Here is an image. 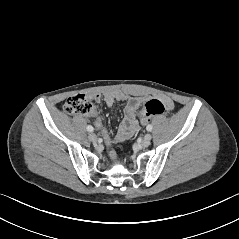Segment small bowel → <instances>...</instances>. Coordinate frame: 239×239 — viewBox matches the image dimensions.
Instances as JSON below:
<instances>
[{
  "label": "small bowel",
  "instance_id": "small-bowel-1",
  "mask_svg": "<svg viewBox=\"0 0 239 239\" xmlns=\"http://www.w3.org/2000/svg\"><path fill=\"white\" fill-rule=\"evenodd\" d=\"M90 99L100 102L104 100L107 106L111 107L115 102L119 101L124 104V119L120 123L116 134L112 135L103 126L101 118L97 117L94 121V126L101 131V134L106 143L125 141L132 137L138 130V121L136 112L139 105L144 101L143 98L126 95L120 91H110L105 94L95 93L89 96ZM163 102L168 110L173 109L174 104L169 98H164ZM92 115H95L93 112ZM114 156V153H111Z\"/></svg>",
  "mask_w": 239,
  "mask_h": 239
}]
</instances>
